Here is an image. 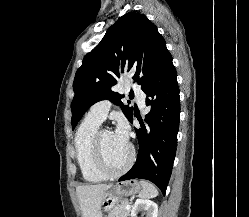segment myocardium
<instances>
[{"instance_id":"obj_1","label":"myocardium","mask_w":249,"mask_h":217,"mask_svg":"<svg viewBox=\"0 0 249 217\" xmlns=\"http://www.w3.org/2000/svg\"><path fill=\"white\" fill-rule=\"evenodd\" d=\"M105 131H110L109 129H99L94 137V156L96 165L101 173L106 177H119L125 172H127L132 166L135 159V150L132 144H128L129 156L126 163L119 169H112L105 158L103 146H102V135Z\"/></svg>"}]
</instances>
